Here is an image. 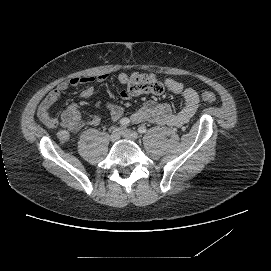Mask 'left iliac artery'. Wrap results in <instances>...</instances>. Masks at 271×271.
<instances>
[{
	"instance_id": "44dca946",
	"label": "left iliac artery",
	"mask_w": 271,
	"mask_h": 271,
	"mask_svg": "<svg viewBox=\"0 0 271 271\" xmlns=\"http://www.w3.org/2000/svg\"><path fill=\"white\" fill-rule=\"evenodd\" d=\"M146 131H147V129H146L145 126H140V127L138 128V132H139L140 134L146 133Z\"/></svg>"
}]
</instances>
